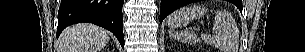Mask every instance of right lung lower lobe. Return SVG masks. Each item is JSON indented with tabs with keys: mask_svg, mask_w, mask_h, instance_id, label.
<instances>
[{
	"mask_svg": "<svg viewBox=\"0 0 305 52\" xmlns=\"http://www.w3.org/2000/svg\"><path fill=\"white\" fill-rule=\"evenodd\" d=\"M124 0H62L58 12L57 37L71 24L88 22L111 31L124 47Z\"/></svg>",
	"mask_w": 305,
	"mask_h": 52,
	"instance_id": "right-lung-lower-lobe-1",
	"label": "right lung lower lobe"
}]
</instances>
